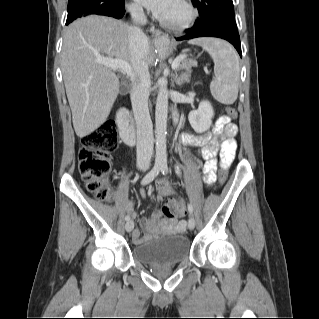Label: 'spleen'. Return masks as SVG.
Segmentation results:
<instances>
[{
	"mask_svg": "<svg viewBox=\"0 0 319 319\" xmlns=\"http://www.w3.org/2000/svg\"><path fill=\"white\" fill-rule=\"evenodd\" d=\"M189 43L200 45L213 58L215 78L210 83L213 97L222 104H233L238 97L240 76L239 60L233 47L215 38H200Z\"/></svg>",
	"mask_w": 319,
	"mask_h": 319,
	"instance_id": "obj_1",
	"label": "spleen"
}]
</instances>
